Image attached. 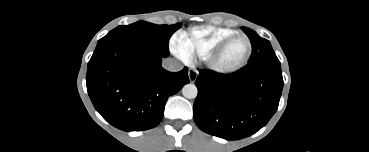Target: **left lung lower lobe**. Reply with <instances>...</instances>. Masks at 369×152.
I'll list each match as a JSON object with an SVG mask.
<instances>
[{
	"label": "left lung lower lobe",
	"mask_w": 369,
	"mask_h": 152,
	"mask_svg": "<svg viewBox=\"0 0 369 152\" xmlns=\"http://www.w3.org/2000/svg\"><path fill=\"white\" fill-rule=\"evenodd\" d=\"M193 115L204 132L226 140L250 136L276 112L283 88L281 66H245L231 74L199 70Z\"/></svg>",
	"instance_id": "left-lung-lower-lobe-1"
}]
</instances>
